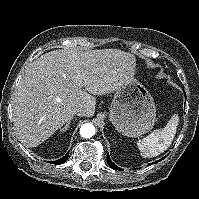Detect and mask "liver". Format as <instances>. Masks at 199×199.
<instances>
[{
	"instance_id": "6515ba94",
	"label": "liver",
	"mask_w": 199,
	"mask_h": 199,
	"mask_svg": "<svg viewBox=\"0 0 199 199\" xmlns=\"http://www.w3.org/2000/svg\"><path fill=\"white\" fill-rule=\"evenodd\" d=\"M132 54L119 49L54 50L33 61L12 103L17 138L27 147L47 140L82 106L95 112V95L116 91L135 74Z\"/></svg>"
}]
</instances>
